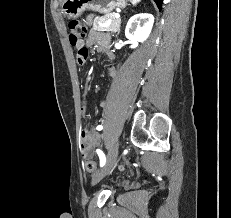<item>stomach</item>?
Here are the masks:
<instances>
[{"mask_svg":"<svg viewBox=\"0 0 231 218\" xmlns=\"http://www.w3.org/2000/svg\"><path fill=\"white\" fill-rule=\"evenodd\" d=\"M128 0H63L62 10L69 18L79 17L85 10L110 13L116 8H125Z\"/></svg>","mask_w":231,"mask_h":218,"instance_id":"1","label":"stomach"}]
</instances>
